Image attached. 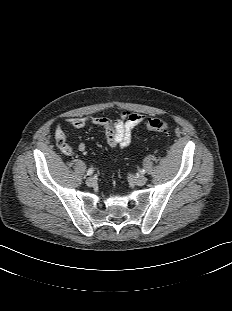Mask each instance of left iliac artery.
Segmentation results:
<instances>
[{"label":"left iliac artery","instance_id":"left-iliac-artery-1","mask_svg":"<svg viewBox=\"0 0 232 311\" xmlns=\"http://www.w3.org/2000/svg\"><path fill=\"white\" fill-rule=\"evenodd\" d=\"M140 173H141V174H145L146 171H145L144 169H142V170H140Z\"/></svg>","mask_w":232,"mask_h":311}]
</instances>
